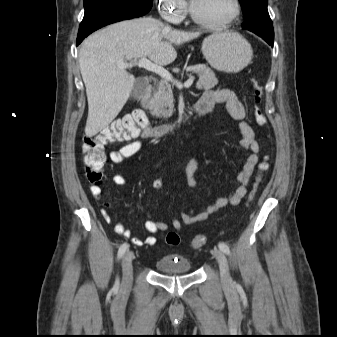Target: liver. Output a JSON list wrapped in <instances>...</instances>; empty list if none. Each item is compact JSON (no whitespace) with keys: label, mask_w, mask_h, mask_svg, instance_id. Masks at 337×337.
<instances>
[{"label":"liver","mask_w":337,"mask_h":337,"mask_svg":"<svg viewBox=\"0 0 337 337\" xmlns=\"http://www.w3.org/2000/svg\"><path fill=\"white\" fill-rule=\"evenodd\" d=\"M199 35L173 30L157 19L143 17L115 23L85 39L79 51L88 100L85 134L92 137L106 128L131 94L135 78L119 68L118 61L148 57L158 65H168L177 57L173 45Z\"/></svg>","instance_id":"liver-1"}]
</instances>
